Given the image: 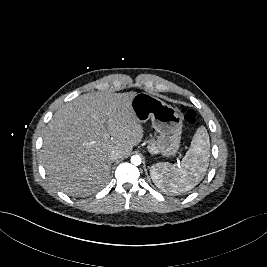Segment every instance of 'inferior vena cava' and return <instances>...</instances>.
I'll return each mask as SVG.
<instances>
[{
  "label": "inferior vena cava",
  "instance_id": "602c4592",
  "mask_svg": "<svg viewBox=\"0 0 267 267\" xmlns=\"http://www.w3.org/2000/svg\"><path fill=\"white\" fill-rule=\"evenodd\" d=\"M120 158H122V153H121V151H119V150H112V151H111V153H110V159H111L112 161L118 160V159H120Z\"/></svg>",
  "mask_w": 267,
  "mask_h": 267
}]
</instances>
